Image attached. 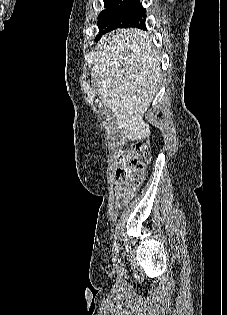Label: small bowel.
<instances>
[{
	"label": "small bowel",
	"mask_w": 227,
	"mask_h": 315,
	"mask_svg": "<svg viewBox=\"0 0 227 315\" xmlns=\"http://www.w3.org/2000/svg\"><path fill=\"white\" fill-rule=\"evenodd\" d=\"M115 190L117 197L120 198L122 201H127L128 199H130L136 191L135 188L127 183L117 184Z\"/></svg>",
	"instance_id": "1"
}]
</instances>
